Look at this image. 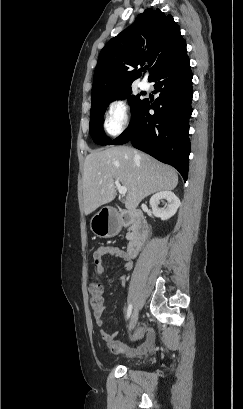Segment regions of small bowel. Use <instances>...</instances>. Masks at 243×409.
<instances>
[{
    "instance_id": "1",
    "label": "small bowel",
    "mask_w": 243,
    "mask_h": 409,
    "mask_svg": "<svg viewBox=\"0 0 243 409\" xmlns=\"http://www.w3.org/2000/svg\"><path fill=\"white\" fill-rule=\"evenodd\" d=\"M106 257H114L124 261L123 268L125 270L132 269V261L130 256L122 249L115 246H100L93 253V263L96 267V272L99 276L103 275L104 267L103 260ZM119 280L122 284L126 282V276H120ZM104 305L100 309L94 310L95 323L98 327L104 325ZM146 339L142 341L144 336ZM102 339L108 344L109 351L115 354H125L129 357H138L144 354H151L156 349L157 339L154 331L147 330L145 327H140L134 337L133 344H123L115 340V334L101 331Z\"/></svg>"
}]
</instances>
